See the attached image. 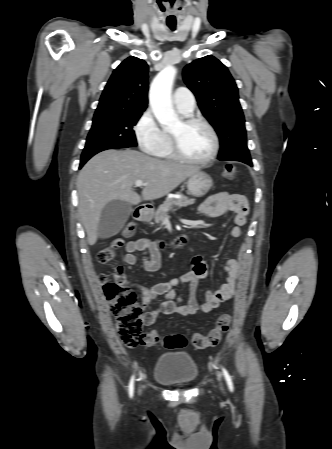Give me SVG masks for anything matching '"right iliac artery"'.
Instances as JSON below:
<instances>
[{
  "mask_svg": "<svg viewBox=\"0 0 332 449\" xmlns=\"http://www.w3.org/2000/svg\"><path fill=\"white\" fill-rule=\"evenodd\" d=\"M134 393V376L131 377L130 383H129V395L130 397L133 396Z\"/></svg>",
  "mask_w": 332,
  "mask_h": 449,
  "instance_id": "right-iliac-artery-1",
  "label": "right iliac artery"
}]
</instances>
